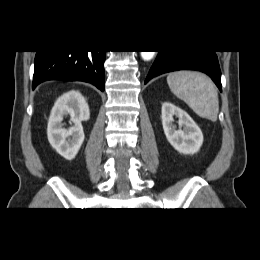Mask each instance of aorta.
Here are the masks:
<instances>
[{
  "label": "aorta",
  "mask_w": 260,
  "mask_h": 260,
  "mask_svg": "<svg viewBox=\"0 0 260 260\" xmlns=\"http://www.w3.org/2000/svg\"><path fill=\"white\" fill-rule=\"evenodd\" d=\"M155 53H156L155 51H142L141 57L143 60L149 61L154 57Z\"/></svg>",
  "instance_id": "762f6f07"
}]
</instances>
